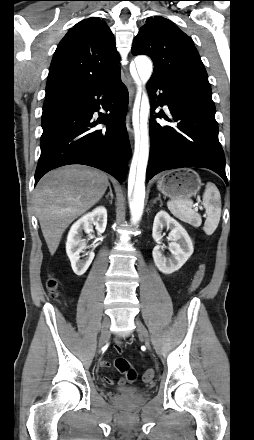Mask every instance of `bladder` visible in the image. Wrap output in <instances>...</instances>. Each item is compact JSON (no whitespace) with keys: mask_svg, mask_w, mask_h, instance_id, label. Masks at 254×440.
<instances>
[{"mask_svg":"<svg viewBox=\"0 0 254 440\" xmlns=\"http://www.w3.org/2000/svg\"><path fill=\"white\" fill-rule=\"evenodd\" d=\"M140 389L137 387H120L118 388V392L124 393V394H133L138 392Z\"/></svg>","mask_w":254,"mask_h":440,"instance_id":"1","label":"bladder"}]
</instances>
